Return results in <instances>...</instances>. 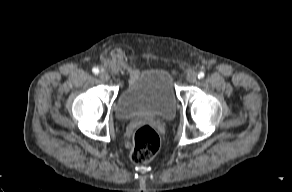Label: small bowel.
<instances>
[{"label":"small bowel","instance_id":"small-bowel-1","mask_svg":"<svg viewBox=\"0 0 292 192\" xmlns=\"http://www.w3.org/2000/svg\"><path fill=\"white\" fill-rule=\"evenodd\" d=\"M124 147H125L126 149H131V148L133 147V142H132L131 140H126V141L124 142Z\"/></svg>","mask_w":292,"mask_h":192}]
</instances>
